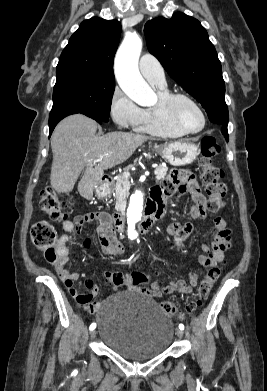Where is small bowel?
<instances>
[{
    "instance_id": "c3829d8e",
    "label": "small bowel",
    "mask_w": 267,
    "mask_h": 391,
    "mask_svg": "<svg viewBox=\"0 0 267 391\" xmlns=\"http://www.w3.org/2000/svg\"><path fill=\"white\" fill-rule=\"evenodd\" d=\"M189 193L192 199V206L190 215L193 219H205L207 211V201L202 194L198 183L194 176L186 170H172L167 178L159 185L151 189V203L156 206L159 216H161L165 209V203L175 195H183ZM99 224L97 233L100 240V247L105 255L116 257L123 253V245L116 238L112 227V218L106 212H93L85 215L77 216L73 220H64L61 227L64 233L61 234L56 243L57 260L54 263V269L59 278L64 282L65 286L70 290L71 294L76 298L78 303L84 306L87 310L94 312L101 305L102 301H94L98 294V286L94 278H87L85 280V287L87 293L81 294L74 288V282L80 278V273L71 272L67 269L69 249L68 242L71 240L70 233H81L82 226L85 223ZM193 231V225L189 222L180 224L177 222L169 224L167 232L173 236L177 248L180 252H184L182 241L186 239ZM91 240L87 237L84 241L85 248H89ZM231 246V231L226 227V223L222 218L215 219V235L210 244L202 242L203 254L198 258L199 263L205 268H211L218 262L223 261L224 253ZM126 279V273H121ZM160 273H155V280L150 288L139 290L144 295L150 298H160L166 294L173 292H181L190 294L193 288L197 286L200 273L192 271L189 274V281L175 278L166 285H161L159 282ZM101 277L108 280L113 289L120 286H127L133 288L130 284H115L113 282L114 273H102Z\"/></svg>"
}]
</instances>
